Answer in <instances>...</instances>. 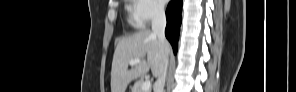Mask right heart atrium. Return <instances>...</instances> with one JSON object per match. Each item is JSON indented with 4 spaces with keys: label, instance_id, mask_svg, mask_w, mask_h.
I'll list each match as a JSON object with an SVG mask.
<instances>
[{
    "label": "right heart atrium",
    "instance_id": "d8ad5b80",
    "mask_svg": "<svg viewBox=\"0 0 296 92\" xmlns=\"http://www.w3.org/2000/svg\"><path fill=\"white\" fill-rule=\"evenodd\" d=\"M131 13L135 23L145 26L160 19L164 9L158 1L133 0Z\"/></svg>",
    "mask_w": 296,
    "mask_h": 92
}]
</instances>
